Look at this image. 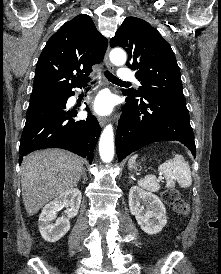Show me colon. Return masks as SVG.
Instances as JSON below:
<instances>
[{
  "mask_svg": "<svg viewBox=\"0 0 221 274\" xmlns=\"http://www.w3.org/2000/svg\"><path fill=\"white\" fill-rule=\"evenodd\" d=\"M162 198L177 214L186 215L189 212V203L184 199L178 190L171 188L163 192Z\"/></svg>",
  "mask_w": 221,
  "mask_h": 274,
  "instance_id": "1",
  "label": "colon"
}]
</instances>
